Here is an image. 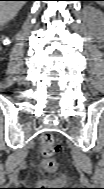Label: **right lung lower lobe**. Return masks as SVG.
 I'll return each instance as SVG.
<instances>
[{"label":"right lung lower lobe","mask_w":104,"mask_h":189,"mask_svg":"<svg viewBox=\"0 0 104 189\" xmlns=\"http://www.w3.org/2000/svg\"><path fill=\"white\" fill-rule=\"evenodd\" d=\"M19 1H32V0H19Z\"/></svg>","instance_id":"1"}]
</instances>
